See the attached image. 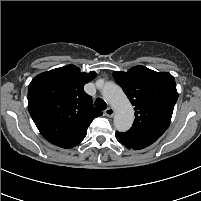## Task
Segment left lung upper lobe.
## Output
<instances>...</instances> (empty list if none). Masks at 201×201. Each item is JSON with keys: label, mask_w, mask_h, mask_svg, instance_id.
I'll return each mask as SVG.
<instances>
[{"label": "left lung upper lobe", "mask_w": 201, "mask_h": 201, "mask_svg": "<svg viewBox=\"0 0 201 201\" xmlns=\"http://www.w3.org/2000/svg\"><path fill=\"white\" fill-rule=\"evenodd\" d=\"M113 76L135 107V120L127 132L160 137L170 124L178 99L174 77L144 66L114 72Z\"/></svg>", "instance_id": "5c2ea615"}]
</instances>
